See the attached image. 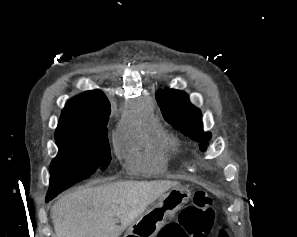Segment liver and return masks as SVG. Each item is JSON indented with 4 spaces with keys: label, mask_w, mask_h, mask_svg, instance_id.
Masks as SVG:
<instances>
[{
    "label": "liver",
    "mask_w": 297,
    "mask_h": 237,
    "mask_svg": "<svg viewBox=\"0 0 297 237\" xmlns=\"http://www.w3.org/2000/svg\"><path fill=\"white\" fill-rule=\"evenodd\" d=\"M177 185L175 181L155 180L79 188L51 209L55 237H119L151 203Z\"/></svg>",
    "instance_id": "liver-1"
}]
</instances>
